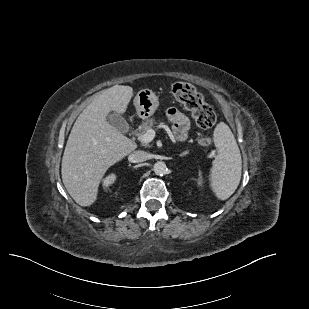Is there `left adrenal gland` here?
<instances>
[{
    "label": "left adrenal gland",
    "instance_id": "obj_1",
    "mask_svg": "<svg viewBox=\"0 0 309 309\" xmlns=\"http://www.w3.org/2000/svg\"><path fill=\"white\" fill-rule=\"evenodd\" d=\"M188 153V151L183 152L182 154H180V156H184Z\"/></svg>",
    "mask_w": 309,
    "mask_h": 309
}]
</instances>
